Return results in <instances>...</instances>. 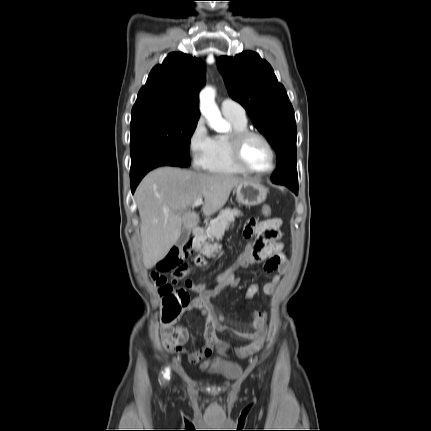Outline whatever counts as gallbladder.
I'll return each instance as SVG.
<instances>
[{"label":"gallbladder","mask_w":431,"mask_h":431,"mask_svg":"<svg viewBox=\"0 0 431 431\" xmlns=\"http://www.w3.org/2000/svg\"><path fill=\"white\" fill-rule=\"evenodd\" d=\"M189 235H190V233H189L188 230L182 229L180 237H179V239L176 242V245L178 247H182L187 242V240L189 238Z\"/></svg>","instance_id":"1"}]
</instances>
